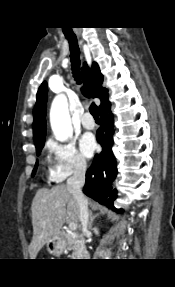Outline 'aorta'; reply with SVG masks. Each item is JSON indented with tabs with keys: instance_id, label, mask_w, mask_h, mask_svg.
<instances>
[{
	"instance_id": "1",
	"label": "aorta",
	"mask_w": 175,
	"mask_h": 287,
	"mask_svg": "<svg viewBox=\"0 0 175 287\" xmlns=\"http://www.w3.org/2000/svg\"><path fill=\"white\" fill-rule=\"evenodd\" d=\"M50 123L58 141H67L73 135V128L65 95L54 98L50 109Z\"/></svg>"
}]
</instances>
